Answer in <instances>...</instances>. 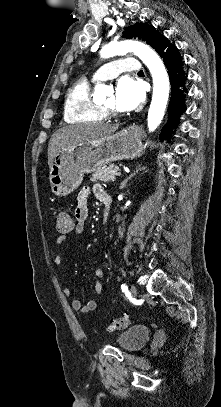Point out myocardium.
<instances>
[{
  "label": "myocardium",
  "instance_id": "1",
  "mask_svg": "<svg viewBox=\"0 0 221 407\" xmlns=\"http://www.w3.org/2000/svg\"><path fill=\"white\" fill-rule=\"evenodd\" d=\"M101 109L106 116H115L120 114V112L116 108H110L105 105H101Z\"/></svg>",
  "mask_w": 221,
  "mask_h": 407
}]
</instances>
